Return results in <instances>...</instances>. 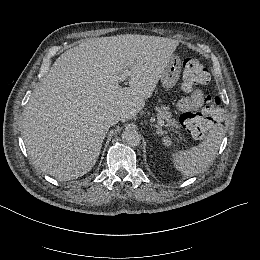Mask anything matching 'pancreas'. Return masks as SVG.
Returning <instances> with one entry per match:
<instances>
[{"instance_id": "cf45deb5", "label": "pancreas", "mask_w": 260, "mask_h": 260, "mask_svg": "<svg viewBox=\"0 0 260 260\" xmlns=\"http://www.w3.org/2000/svg\"><path fill=\"white\" fill-rule=\"evenodd\" d=\"M157 117L166 121V127L169 130L182 128L179 122L172 118V113L169 111V107H163V109H159Z\"/></svg>"}]
</instances>
